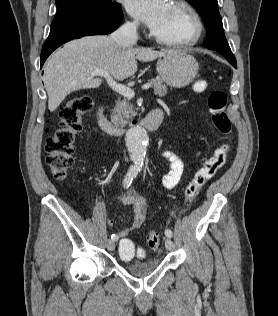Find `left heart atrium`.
I'll return each mask as SVG.
<instances>
[{"label": "left heart atrium", "instance_id": "1", "mask_svg": "<svg viewBox=\"0 0 278 316\" xmlns=\"http://www.w3.org/2000/svg\"><path fill=\"white\" fill-rule=\"evenodd\" d=\"M169 6L167 0H129L127 10L153 32L164 20Z\"/></svg>", "mask_w": 278, "mask_h": 316}]
</instances>
